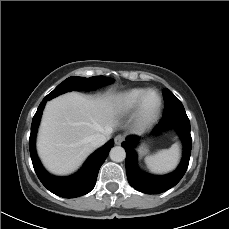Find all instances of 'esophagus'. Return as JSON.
Returning a JSON list of instances; mask_svg holds the SVG:
<instances>
[{"mask_svg":"<svg viewBox=\"0 0 229 229\" xmlns=\"http://www.w3.org/2000/svg\"><path fill=\"white\" fill-rule=\"evenodd\" d=\"M114 140L115 144L120 145L125 140V137L122 135H117Z\"/></svg>","mask_w":229,"mask_h":229,"instance_id":"1","label":"esophagus"}]
</instances>
